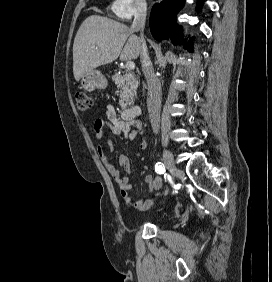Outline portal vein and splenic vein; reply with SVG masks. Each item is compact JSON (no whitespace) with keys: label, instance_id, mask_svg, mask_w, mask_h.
<instances>
[{"label":"portal vein and splenic vein","instance_id":"1","mask_svg":"<svg viewBox=\"0 0 272 282\" xmlns=\"http://www.w3.org/2000/svg\"><path fill=\"white\" fill-rule=\"evenodd\" d=\"M125 67L128 70H133L135 68V63L133 61H127Z\"/></svg>","mask_w":272,"mask_h":282}]
</instances>
